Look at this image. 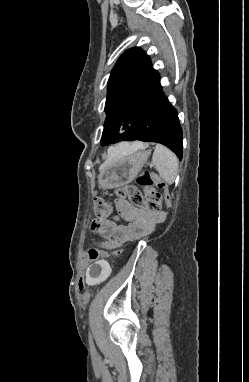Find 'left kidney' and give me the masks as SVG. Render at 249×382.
Here are the masks:
<instances>
[{"instance_id": "left-kidney-1", "label": "left kidney", "mask_w": 249, "mask_h": 382, "mask_svg": "<svg viewBox=\"0 0 249 382\" xmlns=\"http://www.w3.org/2000/svg\"><path fill=\"white\" fill-rule=\"evenodd\" d=\"M101 270H87L86 276L84 277V282L88 285H92L94 288L96 284H105L111 276L112 267L109 266L108 260H99L97 262ZM90 283V284H89Z\"/></svg>"}]
</instances>
